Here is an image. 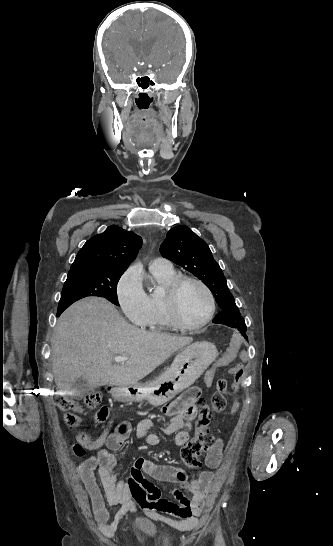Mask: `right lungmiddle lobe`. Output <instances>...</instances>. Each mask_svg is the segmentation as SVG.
I'll list each match as a JSON object with an SVG mask.
<instances>
[{
  "instance_id": "right-lung-middle-lobe-1",
  "label": "right lung middle lobe",
  "mask_w": 333,
  "mask_h": 546,
  "mask_svg": "<svg viewBox=\"0 0 333 546\" xmlns=\"http://www.w3.org/2000/svg\"><path fill=\"white\" fill-rule=\"evenodd\" d=\"M124 272L125 270L95 267L84 273L68 274L58 310H65L73 302L87 296L104 297L119 306L117 283Z\"/></svg>"
}]
</instances>
